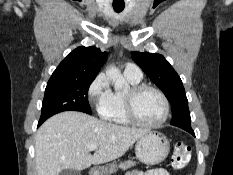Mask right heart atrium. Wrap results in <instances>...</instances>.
<instances>
[{
    "label": "right heart atrium",
    "instance_id": "right-heart-atrium-1",
    "mask_svg": "<svg viewBox=\"0 0 233 175\" xmlns=\"http://www.w3.org/2000/svg\"><path fill=\"white\" fill-rule=\"evenodd\" d=\"M87 93L89 100L97 106L105 101L110 94V88L106 76L104 74L97 75L90 83Z\"/></svg>",
    "mask_w": 233,
    "mask_h": 175
}]
</instances>
